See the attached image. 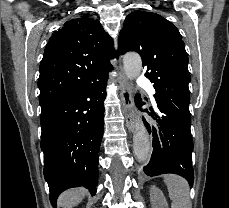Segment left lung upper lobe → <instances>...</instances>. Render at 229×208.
<instances>
[{"label":"left lung upper lobe","mask_w":229,"mask_h":208,"mask_svg":"<svg viewBox=\"0 0 229 208\" xmlns=\"http://www.w3.org/2000/svg\"><path fill=\"white\" fill-rule=\"evenodd\" d=\"M118 45L121 54H140L145 76L154 83L157 103L190 115L188 55L181 34L171 22L156 13L132 12L124 21Z\"/></svg>","instance_id":"1"}]
</instances>
